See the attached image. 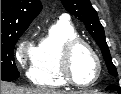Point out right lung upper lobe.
Instances as JSON below:
<instances>
[{
    "label": "right lung upper lobe",
    "instance_id": "obj_1",
    "mask_svg": "<svg viewBox=\"0 0 121 94\" xmlns=\"http://www.w3.org/2000/svg\"><path fill=\"white\" fill-rule=\"evenodd\" d=\"M41 9L40 0H1V33L26 30Z\"/></svg>",
    "mask_w": 121,
    "mask_h": 94
}]
</instances>
